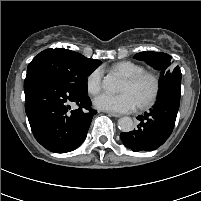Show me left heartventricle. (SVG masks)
Listing matches in <instances>:
<instances>
[{
    "label": "left heart ventricle",
    "mask_w": 201,
    "mask_h": 201,
    "mask_svg": "<svg viewBox=\"0 0 201 201\" xmlns=\"http://www.w3.org/2000/svg\"><path fill=\"white\" fill-rule=\"evenodd\" d=\"M151 91L152 82L149 79H143L137 84H130L126 80H124L121 86V92L131 93L138 104L147 99Z\"/></svg>",
    "instance_id": "1"
}]
</instances>
